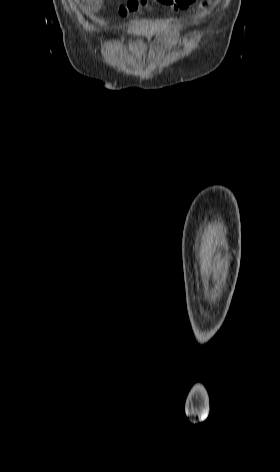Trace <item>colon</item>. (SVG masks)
Masks as SVG:
<instances>
[{
  "label": "colon",
  "instance_id": "1",
  "mask_svg": "<svg viewBox=\"0 0 280 472\" xmlns=\"http://www.w3.org/2000/svg\"><path fill=\"white\" fill-rule=\"evenodd\" d=\"M148 0H128L127 3L119 7V15L126 17L129 14L135 13L140 10L142 7L147 5ZM154 2L162 6H174L175 4L181 2L180 0H153Z\"/></svg>",
  "mask_w": 280,
  "mask_h": 472
}]
</instances>
